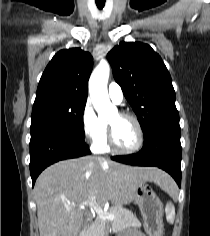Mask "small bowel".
I'll use <instances>...</instances> for the list:
<instances>
[{"mask_svg":"<svg viewBox=\"0 0 210 236\" xmlns=\"http://www.w3.org/2000/svg\"><path fill=\"white\" fill-rule=\"evenodd\" d=\"M121 236H142V235L135 232H126V233H123Z\"/></svg>","mask_w":210,"mask_h":236,"instance_id":"small-bowel-1","label":"small bowel"}]
</instances>
